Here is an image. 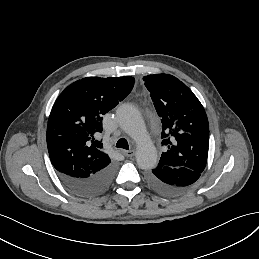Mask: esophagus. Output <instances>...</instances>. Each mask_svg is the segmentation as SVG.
<instances>
[{
	"label": "esophagus",
	"mask_w": 259,
	"mask_h": 259,
	"mask_svg": "<svg viewBox=\"0 0 259 259\" xmlns=\"http://www.w3.org/2000/svg\"><path fill=\"white\" fill-rule=\"evenodd\" d=\"M122 154L126 157H132V156H135L136 151L135 150H123Z\"/></svg>",
	"instance_id": "obj_1"
}]
</instances>
